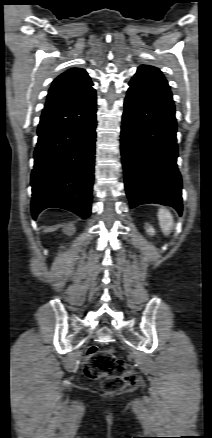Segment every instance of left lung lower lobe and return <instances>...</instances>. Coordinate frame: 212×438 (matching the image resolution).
<instances>
[{
    "label": "left lung lower lobe",
    "instance_id": "obj_1",
    "mask_svg": "<svg viewBox=\"0 0 212 438\" xmlns=\"http://www.w3.org/2000/svg\"><path fill=\"white\" fill-rule=\"evenodd\" d=\"M122 117L121 154L130 207L158 203L182 212L177 124L169 88L132 78Z\"/></svg>",
    "mask_w": 212,
    "mask_h": 438
}]
</instances>
